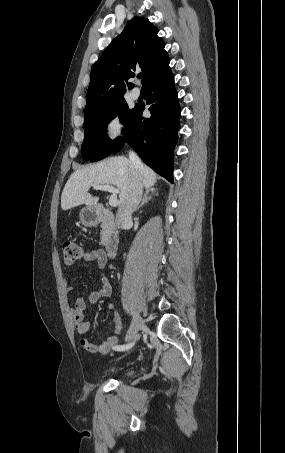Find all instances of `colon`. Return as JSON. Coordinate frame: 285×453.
Returning <instances> with one entry per match:
<instances>
[{
  "label": "colon",
  "instance_id": "5ec220e1",
  "mask_svg": "<svg viewBox=\"0 0 285 453\" xmlns=\"http://www.w3.org/2000/svg\"><path fill=\"white\" fill-rule=\"evenodd\" d=\"M63 256L66 262L73 263L82 257L83 250L74 240H67L62 246Z\"/></svg>",
  "mask_w": 285,
  "mask_h": 453
}]
</instances>
